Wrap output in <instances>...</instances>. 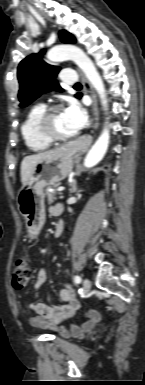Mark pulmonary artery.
<instances>
[{
	"label": "pulmonary artery",
	"instance_id": "1",
	"mask_svg": "<svg viewBox=\"0 0 145 385\" xmlns=\"http://www.w3.org/2000/svg\"><path fill=\"white\" fill-rule=\"evenodd\" d=\"M62 81L66 84H73L76 82L77 77L75 73L70 69H65L61 73Z\"/></svg>",
	"mask_w": 145,
	"mask_h": 385
}]
</instances>
